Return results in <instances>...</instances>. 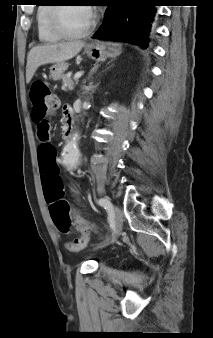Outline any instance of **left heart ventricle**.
<instances>
[{
  "mask_svg": "<svg viewBox=\"0 0 213 338\" xmlns=\"http://www.w3.org/2000/svg\"><path fill=\"white\" fill-rule=\"evenodd\" d=\"M62 27L72 33L84 30L91 22L90 13L83 6H68L60 10Z\"/></svg>",
  "mask_w": 213,
  "mask_h": 338,
  "instance_id": "obj_1",
  "label": "left heart ventricle"
}]
</instances>
